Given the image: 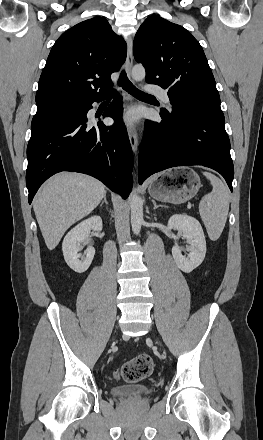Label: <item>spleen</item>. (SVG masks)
Returning <instances> with one entry per match:
<instances>
[{
    "label": "spleen",
    "mask_w": 263,
    "mask_h": 440,
    "mask_svg": "<svg viewBox=\"0 0 263 440\" xmlns=\"http://www.w3.org/2000/svg\"><path fill=\"white\" fill-rule=\"evenodd\" d=\"M213 189L199 203V213L209 238L216 241L225 226L229 211L230 192L228 187L215 175L203 172Z\"/></svg>",
    "instance_id": "spleen-1"
}]
</instances>
